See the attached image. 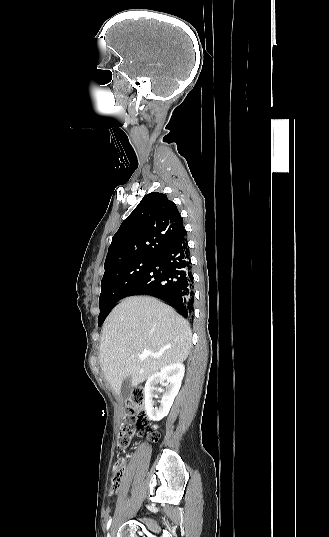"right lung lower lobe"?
Here are the masks:
<instances>
[{
    "instance_id": "right-lung-lower-lobe-1",
    "label": "right lung lower lobe",
    "mask_w": 329,
    "mask_h": 537,
    "mask_svg": "<svg viewBox=\"0 0 329 537\" xmlns=\"http://www.w3.org/2000/svg\"><path fill=\"white\" fill-rule=\"evenodd\" d=\"M185 232L153 257L150 265L125 294L160 298L184 316L191 318L194 287L190 252Z\"/></svg>"
}]
</instances>
